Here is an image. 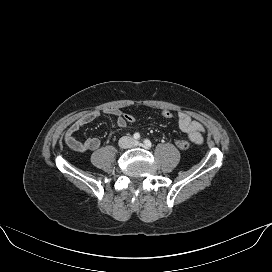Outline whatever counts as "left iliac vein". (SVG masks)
<instances>
[{"instance_id":"left-iliac-vein-1","label":"left iliac vein","mask_w":272,"mask_h":272,"mask_svg":"<svg viewBox=\"0 0 272 272\" xmlns=\"http://www.w3.org/2000/svg\"><path fill=\"white\" fill-rule=\"evenodd\" d=\"M135 145H140V143L139 142H135Z\"/></svg>"}]
</instances>
